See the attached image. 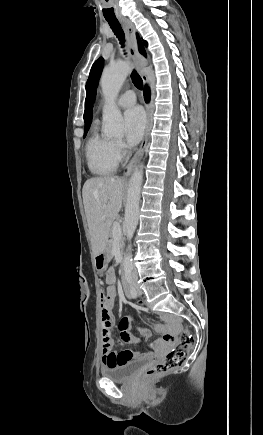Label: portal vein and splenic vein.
<instances>
[{
    "instance_id": "1",
    "label": "portal vein and splenic vein",
    "mask_w": 263,
    "mask_h": 435,
    "mask_svg": "<svg viewBox=\"0 0 263 435\" xmlns=\"http://www.w3.org/2000/svg\"><path fill=\"white\" fill-rule=\"evenodd\" d=\"M112 233H113L114 238H116V239L121 237L122 231H121V227H120L119 223H117V222L113 223Z\"/></svg>"
}]
</instances>
